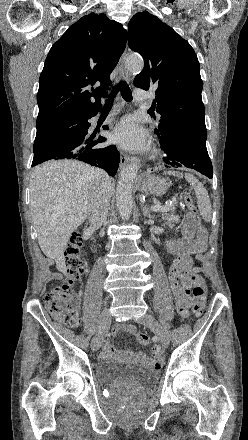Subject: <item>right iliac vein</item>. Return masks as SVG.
<instances>
[{
	"label": "right iliac vein",
	"instance_id": "right-iliac-vein-1",
	"mask_svg": "<svg viewBox=\"0 0 248 440\" xmlns=\"http://www.w3.org/2000/svg\"><path fill=\"white\" fill-rule=\"evenodd\" d=\"M110 324H111L110 313L107 309H105L102 313V316H101L100 325L98 328V333L93 338L92 343H91V348L93 351H97L101 347L103 337L105 335V332L108 330Z\"/></svg>",
	"mask_w": 248,
	"mask_h": 440
}]
</instances>
